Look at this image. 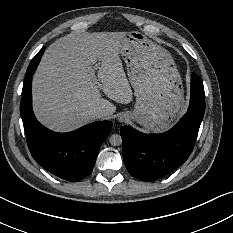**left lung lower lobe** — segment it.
Here are the masks:
<instances>
[{
    "label": "left lung lower lobe",
    "mask_w": 233,
    "mask_h": 233,
    "mask_svg": "<svg viewBox=\"0 0 233 233\" xmlns=\"http://www.w3.org/2000/svg\"><path fill=\"white\" fill-rule=\"evenodd\" d=\"M205 112L202 79L193 73L187 113L169 131L144 134L122 126L123 160L129 173L142 181H155L178 168L191 154Z\"/></svg>",
    "instance_id": "obj_1"
}]
</instances>
